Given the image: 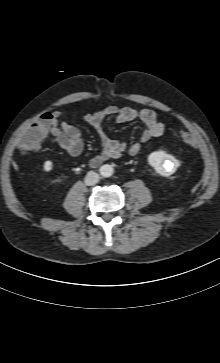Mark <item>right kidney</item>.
<instances>
[{"instance_id": "obj_1", "label": "right kidney", "mask_w": 220, "mask_h": 363, "mask_svg": "<svg viewBox=\"0 0 220 363\" xmlns=\"http://www.w3.org/2000/svg\"><path fill=\"white\" fill-rule=\"evenodd\" d=\"M52 167H53L52 161H49L48 160V161H45L44 162L43 168H44L45 171H47V172L51 171L52 170Z\"/></svg>"}]
</instances>
